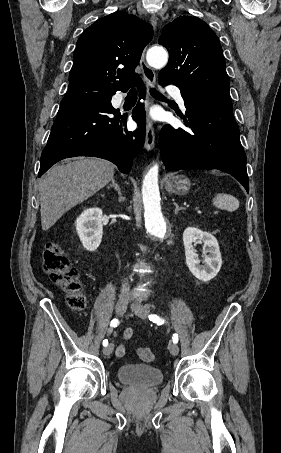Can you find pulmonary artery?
<instances>
[{"mask_svg": "<svg viewBox=\"0 0 281 453\" xmlns=\"http://www.w3.org/2000/svg\"><path fill=\"white\" fill-rule=\"evenodd\" d=\"M171 95L180 105H182V106L184 105V100H183L181 91L179 89H175V90L171 91ZM123 100H124V95L121 92H117L112 97V103L114 105H119L120 103H122Z\"/></svg>", "mask_w": 281, "mask_h": 453, "instance_id": "pulmonary-artery-1", "label": "pulmonary artery"}]
</instances>
